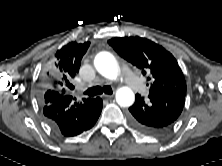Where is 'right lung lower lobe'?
Instances as JSON below:
<instances>
[{"instance_id":"right-lung-lower-lobe-1","label":"right lung lower lobe","mask_w":222,"mask_h":166,"mask_svg":"<svg viewBox=\"0 0 222 166\" xmlns=\"http://www.w3.org/2000/svg\"><path fill=\"white\" fill-rule=\"evenodd\" d=\"M41 102L48 125L66 137L76 136L93 127L103 105L100 97L76 102L72 96L53 90H47Z\"/></svg>"}]
</instances>
